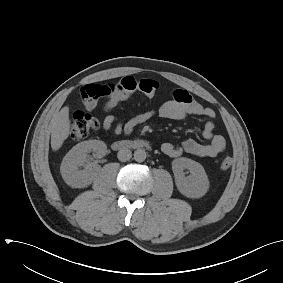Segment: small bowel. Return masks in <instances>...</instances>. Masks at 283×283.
Wrapping results in <instances>:
<instances>
[{"label":"small bowel","mask_w":283,"mask_h":283,"mask_svg":"<svg viewBox=\"0 0 283 283\" xmlns=\"http://www.w3.org/2000/svg\"><path fill=\"white\" fill-rule=\"evenodd\" d=\"M112 85L89 84L82 91L83 104L87 110H93L98 100L108 97L104 110L109 111L116 106V102L109 99ZM159 116L170 120H185L189 116H202L208 119L204 124L202 136L208 143H200L195 139H186L180 145L165 142L161 150L169 157L175 158L183 153L191 154L201 158H213L222 153L226 147L225 138L214 134V123L212 119L215 112L209 107H205L196 101L188 91L178 89L173 93V99L162 104L158 109L147 110L142 113L134 114L126 122H122L114 115H107L103 119V129L111 130L116 135H129L136 127L148 122L154 116Z\"/></svg>","instance_id":"small-bowel-1"}]
</instances>
